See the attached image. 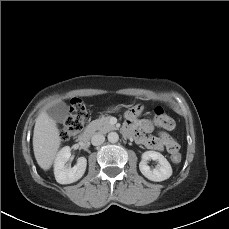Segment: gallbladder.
Segmentation results:
<instances>
[{
	"mask_svg": "<svg viewBox=\"0 0 229 229\" xmlns=\"http://www.w3.org/2000/svg\"><path fill=\"white\" fill-rule=\"evenodd\" d=\"M68 106L64 102H57L47 110L48 115L57 122H64L68 118Z\"/></svg>",
	"mask_w": 229,
	"mask_h": 229,
	"instance_id": "1",
	"label": "gallbladder"
}]
</instances>
